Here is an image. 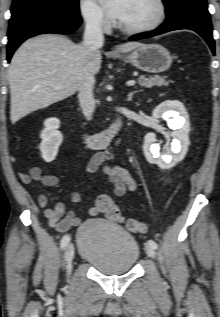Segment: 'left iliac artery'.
I'll return each mask as SVG.
<instances>
[{
    "label": "left iliac artery",
    "mask_w": 220,
    "mask_h": 317,
    "mask_svg": "<svg viewBox=\"0 0 220 317\" xmlns=\"http://www.w3.org/2000/svg\"><path fill=\"white\" fill-rule=\"evenodd\" d=\"M150 246H152L154 249L158 247L157 243L153 240H148L147 242Z\"/></svg>",
    "instance_id": "left-iliac-artery-1"
}]
</instances>
